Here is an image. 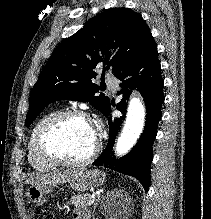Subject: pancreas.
Here are the masks:
<instances>
[{
	"mask_svg": "<svg viewBox=\"0 0 211 219\" xmlns=\"http://www.w3.org/2000/svg\"><path fill=\"white\" fill-rule=\"evenodd\" d=\"M89 199H90L89 194L77 195L72 197L70 204L73 205L75 208H86Z\"/></svg>",
	"mask_w": 211,
	"mask_h": 219,
	"instance_id": "1",
	"label": "pancreas"
}]
</instances>
